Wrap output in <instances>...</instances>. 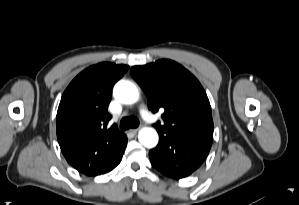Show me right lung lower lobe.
Masks as SVG:
<instances>
[{
	"mask_svg": "<svg viewBox=\"0 0 299 205\" xmlns=\"http://www.w3.org/2000/svg\"><path fill=\"white\" fill-rule=\"evenodd\" d=\"M127 145V138L125 139L122 148L120 149V151L113 157L112 160H110L103 168H101L98 172H96L95 174H93L92 176H96V175H100V174H104L107 173L109 171H111L112 169H114L121 161L123 153L125 151Z\"/></svg>",
	"mask_w": 299,
	"mask_h": 205,
	"instance_id": "obj_1",
	"label": "right lung lower lobe"
}]
</instances>
